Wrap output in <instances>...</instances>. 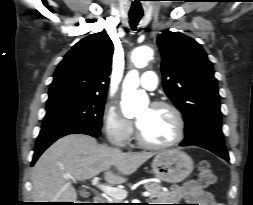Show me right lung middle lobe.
I'll return each mask as SVG.
<instances>
[{"label":"right lung middle lobe","mask_w":253,"mask_h":205,"mask_svg":"<svg viewBox=\"0 0 253 205\" xmlns=\"http://www.w3.org/2000/svg\"><path fill=\"white\" fill-rule=\"evenodd\" d=\"M105 96H66L47 101L42 128L81 126L100 129Z\"/></svg>","instance_id":"obj_1"}]
</instances>
